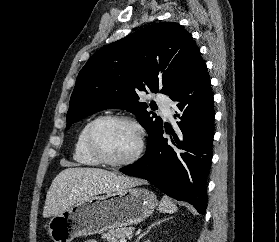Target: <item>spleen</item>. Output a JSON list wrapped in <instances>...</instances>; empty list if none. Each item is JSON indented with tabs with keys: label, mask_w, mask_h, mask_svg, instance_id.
<instances>
[{
	"label": "spleen",
	"mask_w": 279,
	"mask_h": 242,
	"mask_svg": "<svg viewBox=\"0 0 279 242\" xmlns=\"http://www.w3.org/2000/svg\"><path fill=\"white\" fill-rule=\"evenodd\" d=\"M159 210L164 213H174L177 207L169 197L163 196L159 205Z\"/></svg>",
	"instance_id": "1"
}]
</instances>
